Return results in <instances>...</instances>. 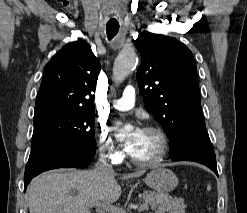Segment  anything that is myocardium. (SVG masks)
<instances>
[{"label": "myocardium", "mask_w": 247, "mask_h": 213, "mask_svg": "<svg viewBox=\"0 0 247 213\" xmlns=\"http://www.w3.org/2000/svg\"><path fill=\"white\" fill-rule=\"evenodd\" d=\"M144 131L154 133L158 136L159 141H160L159 150L156 156H154L153 158L149 160H140V159L135 158L131 154L129 155L130 160L135 165L142 166V167H151V166L158 165L165 159L169 151V138L166 132L162 128L157 127V126H148L144 129Z\"/></svg>", "instance_id": "myocardium-1"}]
</instances>
